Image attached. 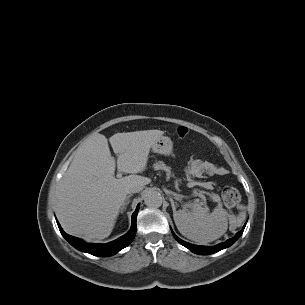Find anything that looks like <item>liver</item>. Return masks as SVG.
I'll return each instance as SVG.
<instances>
[{"instance_id":"obj_1","label":"liver","mask_w":305,"mask_h":305,"mask_svg":"<svg viewBox=\"0 0 305 305\" xmlns=\"http://www.w3.org/2000/svg\"><path fill=\"white\" fill-rule=\"evenodd\" d=\"M163 134L160 130H144L116 133L109 138L118 155V170L131 174L120 179L114 177L116 164L108 139L99 133L89 136L77 148L57 186L56 213L65 232L87 240L107 238L128 188L151 182L137 173L145 170L150 148Z\"/></svg>"}]
</instances>
